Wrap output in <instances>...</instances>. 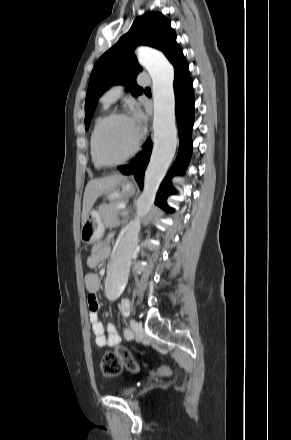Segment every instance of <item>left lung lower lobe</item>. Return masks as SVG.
<instances>
[{
    "mask_svg": "<svg viewBox=\"0 0 291 440\" xmlns=\"http://www.w3.org/2000/svg\"><path fill=\"white\" fill-rule=\"evenodd\" d=\"M174 93L175 113L179 131L180 145L178 155L169 176L164 179L157 193L155 204L168 212L173 209L167 206V197L174 192L170 183V177L182 173L186 169L192 152V127L194 124V90L193 81L189 73V66L184 57L180 55L174 62ZM145 150L137 154L134 161L129 165L118 166V170L124 175H134L139 187L143 188L144 172L150 159L152 142L145 143Z\"/></svg>",
    "mask_w": 291,
    "mask_h": 440,
    "instance_id": "0a47b994",
    "label": "left lung lower lobe"
}]
</instances>
